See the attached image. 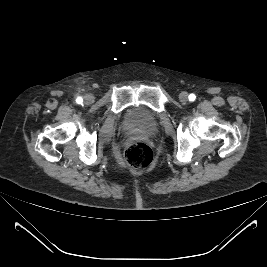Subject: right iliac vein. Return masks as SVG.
<instances>
[{"instance_id": "right-iliac-vein-1", "label": "right iliac vein", "mask_w": 267, "mask_h": 267, "mask_svg": "<svg viewBox=\"0 0 267 267\" xmlns=\"http://www.w3.org/2000/svg\"><path fill=\"white\" fill-rule=\"evenodd\" d=\"M94 101V97L90 94L84 96V102L86 104H91Z\"/></svg>"}]
</instances>
